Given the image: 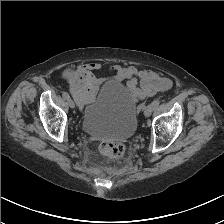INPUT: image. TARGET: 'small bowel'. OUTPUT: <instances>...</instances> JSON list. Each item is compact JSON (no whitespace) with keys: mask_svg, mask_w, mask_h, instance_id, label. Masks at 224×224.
Returning <instances> with one entry per match:
<instances>
[{"mask_svg":"<svg viewBox=\"0 0 224 224\" xmlns=\"http://www.w3.org/2000/svg\"><path fill=\"white\" fill-rule=\"evenodd\" d=\"M83 68L94 71L100 70L102 66L99 63H88ZM109 71L115 73L114 78L116 80L127 81L128 92L136 101L164 92L172 86L169 78L152 70H140L133 66L122 67L115 65L110 67Z\"/></svg>","mask_w":224,"mask_h":224,"instance_id":"1","label":"small bowel"}]
</instances>
